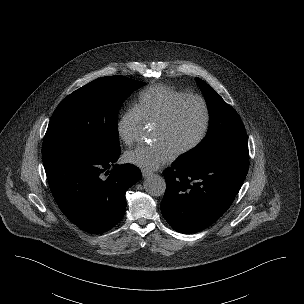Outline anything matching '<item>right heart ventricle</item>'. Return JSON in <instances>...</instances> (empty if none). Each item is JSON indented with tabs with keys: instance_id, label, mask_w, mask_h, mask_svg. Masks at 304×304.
Segmentation results:
<instances>
[{
	"instance_id": "e07e8e85",
	"label": "right heart ventricle",
	"mask_w": 304,
	"mask_h": 304,
	"mask_svg": "<svg viewBox=\"0 0 304 304\" xmlns=\"http://www.w3.org/2000/svg\"><path fill=\"white\" fill-rule=\"evenodd\" d=\"M185 95V92L166 85H154L139 94L134 106L140 112L144 124L156 125L168 108Z\"/></svg>"
}]
</instances>
